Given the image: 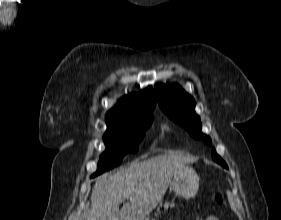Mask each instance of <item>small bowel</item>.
I'll list each match as a JSON object with an SVG mask.
<instances>
[{"label":"small bowel","mask_w":281,"mask_h":220,"mask_svg":"<svg viewBox=\"0 0 281 220\" xmlns=\"http://www.w3.org/2000/svg\"><path fill=\"white\" fill-rule=\"evenodd\" d=\"M196 220H219L217 217L215 216H209L207 218H203V219H196Z\"/></svg>","instance_id":"1"}]
</instances>
